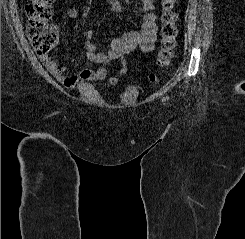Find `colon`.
Wrapping results in <instances>:
<instances>
[{"label": "colon", "instance_id": "1", "mask_svg": "<svg viewBox=\"0 0 245 239\" xmlns=\"http://www.w3.org/2000/svg\"><path fill=\"white\" fill-rule=\"evenodd\" d=\"M53 2L54 0H30L26 5L27 36L39 57L49 56V52L58 43V35L49 24L53 15ZM161 4V41L157 54V64L160 68H167L174 58L178 35L177 15L174 12L176 0H162ZM148 79L152 84L159 83V77L156 73H151Z\"/></svg>", "mask_w": 245, "mask_h": 239}]
</instances>
